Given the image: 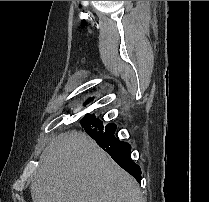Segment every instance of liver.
<instances>
[{
	"label": "liver",
	"mask_w": 209,
	"mask_h": 202,
	"mask_svg": "<svg viewBox=\"0 0 209 202\" xmlns=\"http://www.w3.org/2000/svg\"><path fill=\"white\" fill-rule=\"evenodd\" d=\"M30 189L33 202H143L136 181L77 131L49 143Z\"/></svg>",
	"instance_id": "1"
}]
</instances>
